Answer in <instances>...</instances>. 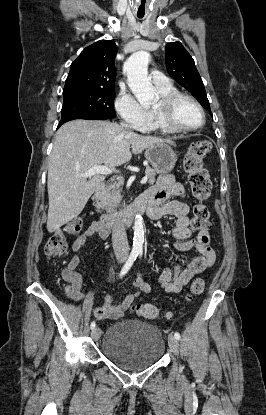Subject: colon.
Listing matches in <instances>:
<instances>
[{
    "label": "colon",
    "mask_w": 266,
    "mask_h": 415,
    "mask_svg": "<svg viewBox=\"0 0 266 415\" xmlns=\"http://www.w3.org/2000/svg\"><path fill=\"white\" fill-rule=\"evenodd\" d=\"M212 145L203 140L192 144L183 159V168L187 174L192 194L197 200L193 207L192 229L205 231L210 226V212L205 201L210 197L212 182L207 170L203 167V161L211 152ZM83 227V219L75 217L65 226L63 231L53 234L45 245V255L51 259L63 257L68 250L67 235L78 234ZM204 290V281L200 278L193 281L190 286L189 298L200 295ZM72 296V286L68 289ZM133 311L144 318L154 319L158 317L159 310L152 304H138L133 306Z\"/></svg>",
    "instance_id": "5ec220e1"
}]
</instances>
